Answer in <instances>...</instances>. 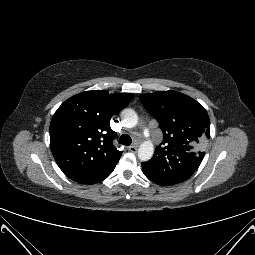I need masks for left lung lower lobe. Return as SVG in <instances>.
Listing matches in <instances>:
<instances>
[{
  "label": "left lung lower lobe",
  "mask_w": 255,
  "mask_h": 255,
  "mask_svg": "<svg viewBox=\"0 0 255 255\" xmlns=\"http://www.w3.org/2000/svg\"><path fill=\"white\" fill-rule=\"evenodd\" d=\"M146 176V175H145ZM147 177V176H146ZM148 178V177H147ZM150 179V178H149ZM151 181H153L154 183L158 184V185H162V186H169L167 183L165 182H161V181H154L152 179H150Z\"/></svg>",
  "instance_id": "obj_1"
}]
</instances>
